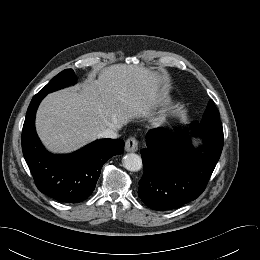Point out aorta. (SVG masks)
<instances>
[{"label": "aorta", "instance_id": "762f6f07", "mask_svg": "<svg viewBox=\"0 0 260 260\" xmlns=\"http://www.w3.org/2000/svg\"><path fill=\"white\" fill-rule=\"evenodd\" d=\"M123 166L129 171H139L142 168V159L135 153H129L123 157Z\"/></svg>", "mask_w": 260, "mask_h": 260}]
</instances>
